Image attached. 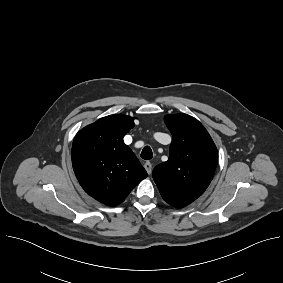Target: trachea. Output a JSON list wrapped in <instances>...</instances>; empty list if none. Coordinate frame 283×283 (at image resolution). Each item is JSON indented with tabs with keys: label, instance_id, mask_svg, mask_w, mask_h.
<instances>
[{
	"label": "trachea",
	"instance_id": "obj_1",
	"mask_svg": "<svg viewBox=\"0 0 283 283\" xmlns=\"http://www.w3.org/2000/svg\"><path fill=\"white\" fill-rule=\"evenodd\" d=\"M153 157L152 150L149 146H145L141 152V158L144 160H150Z\"/></svg>",
	"mask_w": 283,
	"mask_h": 283
}]
</instances>
